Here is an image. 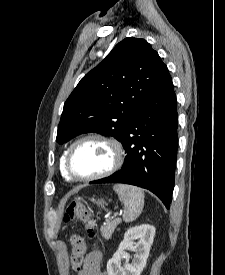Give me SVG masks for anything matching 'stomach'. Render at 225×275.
I'll list each match as a JSON object with an SVG mask.
<instances>
[{
  "label": "stomach",
  "mask_w": 225,
  "mask_h": 275,
  "mask_svg": "<svg viewBox=\"0 0 225 275\" xmlns=\"http://www.w3.org/2000/svg\"><path fill=\"white\" fill-rule=\"evenodd\" d=\"M95 202H96V204H97L98 206H103V205L105 204V202H104L103 199L97 200V201H95Z\"/></svg>",
  "instance_id": "stomach-1"
}]
</instances>
